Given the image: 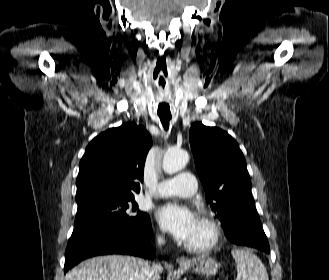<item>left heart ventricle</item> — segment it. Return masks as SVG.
<instances>
[{
  "label": "left heart ventricle",
  "instance_id": "obj_1",
  "mask_svg": "<svg viewBox=\"0 0 329 280\" xmlns=\"http://www.w3.org/2000/svg\"><path fill=\"white\" fill-rule=\"evenodd\" d=\"M207 238H208V231L198 219L196 229L188 242L193 244H200L205 242Z\"/></svg>",
  "mask_w": 329,
  "mask_h": 280
}]
</instances>
